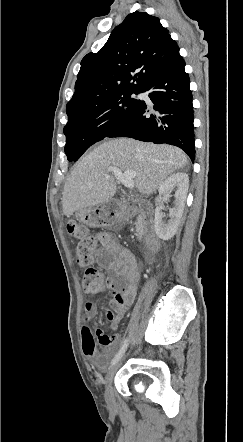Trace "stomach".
<instances>
[{"instance_id": "stomach-1", "label": "stomach", "mask_w": 243, "mask_h": 442, "mask_svg": "<svg viewBox=\"0 0 243 442\" xmlns=\"http://www.w3.org/2000/svg\"><path fill=\"white\" fill-rule=\"evenodd\" d=\"M118 213L111 208L109 202L96 207L80 209L76 212L78 220L90 227H109L116 223Z\"/></svg>"}]
</instances>
